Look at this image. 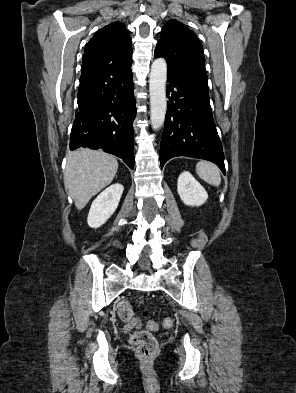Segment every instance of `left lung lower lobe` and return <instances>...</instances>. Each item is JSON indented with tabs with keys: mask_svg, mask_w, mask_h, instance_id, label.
I'll return each mask as SVG.
<instances>
[{
	"mask_svg": "<svg viewBox=\"0 0 296 393\" xmlns=\"http://www.w3.org/2000/svg\"><path fill=\"white\" fill-rule=\"evenodd\" d=\"M169 98L161 140V167L172 157L211 161L225 173L223 148L213 121L207 77L167 72Z\"/></svg>",
	"mask_w": 296,
	"mask_h": 393,
	"instance_id": "obj_1",
	"label": "left lung lower lobe"
}]
</instances>
